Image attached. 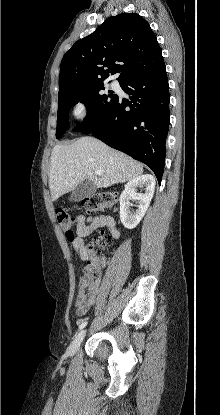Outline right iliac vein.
I'll return each mask as SVG.
<instances>
[{
    "label": "right iliac vein",
    "instance_id": "63e3f726",
    "mask_svg": "<svg viewBox=\"0 0 220 415\" xmlns=\"http://www.w3.org/2000/svg\"><path fill=\"white\" fill-rule=\"evenodd\" d=\"M85 335H86V330H82L75 336L74 340L72 341V343L70 344L67 350V353L69 356H73L77 352Z\"/></svg>",
    "mask_w": 220,
    "mask_h": 415
}]
</instances>
